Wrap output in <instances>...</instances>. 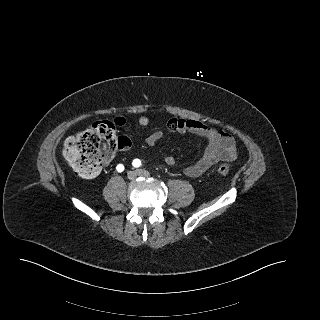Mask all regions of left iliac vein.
Returning <instances> with one entry per match:
<instances>
[{
	"label": "left iliac vein",
	"instance_id": "4c4485c4",
	"mask_svg": "<svg viewBox=\"0 0 320 320\" xmlns=\"http://www.w3.org/2000/svg\"><path fill=\"white\" fill-rule=\"evenodd\" d=\"M136 173L138 176H144V177L149 176V172L144 169H138V170H136Z\"/></svg>",
	"mask_w": 320,
	"mask_h": 320
}]
</instances>
